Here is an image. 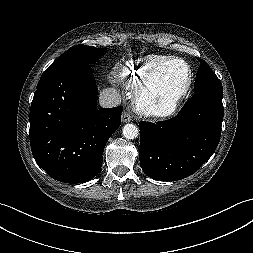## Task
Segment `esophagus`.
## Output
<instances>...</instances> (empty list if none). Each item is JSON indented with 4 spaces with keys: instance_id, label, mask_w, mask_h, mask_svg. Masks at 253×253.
Returning <instances> with one entry per match:
<instances>
[{
    "instance_id": "obj_1",
    "label": "esophagus",
    "mask_w": 253,
    "mask_h": 253,
    "mask_svg": "<svg viewBox=\"0 0 253 253\" xmlns=\"http://www.w3.org/2000/svg\"><path fill=\"white\" fill-rule=\"evenodd\" d=\"M122 121L124 123L130 122L132 121V116L130 115V113L128 111H124L122 113Z\"/></svg>"
}]
</instances>
